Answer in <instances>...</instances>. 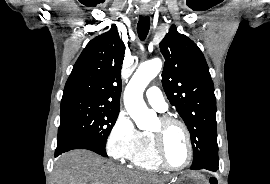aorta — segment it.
<instances>
[{"label": "aorta", "instance_id": "aorta-1", "mask_svg": "<svg viewBox=\"0 0 270 184\" xmlns=\"http://www.w3.org/2000/svg\"><path fill=\"white\" fill-rule=\"evenodd\" d=\"M161 68L162 61L159 58L142 63L125 88V108L139 129L151 128L157 118L156 113L147 108L143 100V92L150 81L158 75Z\"/></svg>", "mask_w": 270, "mask_h": 184}]
</instances>
